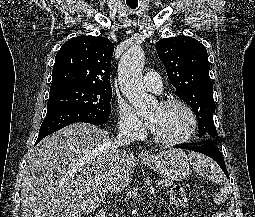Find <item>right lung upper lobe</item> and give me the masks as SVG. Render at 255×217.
<instances>
[{"label":"right lung upper lobe","instance_id":"1","mask_svg":"<svg viewBox=\"0 0 255 217\" xmlns=\"http://www.w3.org/2000/svg\"><path fill=\"white\" fill-rule=\"evenodd\" d=\"M114 45L105 37L78 36L65 42L55 57L51 87L81 84L111 88Z\"/></svg>","mask_w":255,"mask_h":217}]
</instances>
